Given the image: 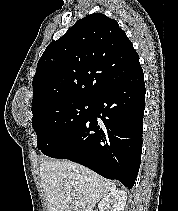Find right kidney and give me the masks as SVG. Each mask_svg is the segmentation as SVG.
Segmentation results:
<instances>
[{
	"mask_svg": "<svg viewBox=\"0 0 178 211\" xmlns=\"http://www.w3.org/2000/svg\"><path fill=\"white\" fill-rule=\"evenodd\" d=\"M127 194L124 190H115L105 196L98 204L100 211H123Z\"/></svg>",
	"mask_w": 178,
	"mask_h": 211,
	"instance_id": "ca27d5eb",
	"label": "right kidney"
}]
</instances>
